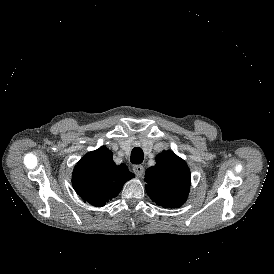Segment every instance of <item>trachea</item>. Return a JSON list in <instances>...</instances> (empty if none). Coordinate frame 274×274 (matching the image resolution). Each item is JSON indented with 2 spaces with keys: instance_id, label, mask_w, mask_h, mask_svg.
<instances>
[{
  "instance_id": "obj_1",
  "label": "trachea",
  "mask_w": 274,
  "mask_h": 274,
  "mask_svg": "<svg viewBox=\"0 0 274 274\" xmlns=\"http://www.w3.org/2000/svg\"><path fill=\"white\" fill-rule=\"evenodd\" d=\"M144 153L143 150L139 147L133 148L131 152L130 161L135 165H139L143 162Z\"/></svg>"
}]
</instances>
